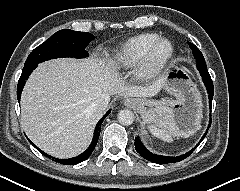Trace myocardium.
Returning <instances> with one entry per match:
<instances>
[{"label": "myocardium", "mask_w": 240, "mask_h": 191, "mask_svg": "<svg viewBox=\"0 0 240 191\" xmlns=\"http://www.w3.org/2000/svg\"><path fill=\"white\" fill-rule=\"evenodd\" d=\"M162 44L167 45V51L161 58H156V51ZM174 55L173 43L165 37H159L148 48L136 68L139 79L148 80L158 76L168 65Z\"/></svg>", "instance_id": "f54148a6"}]
</instances>
